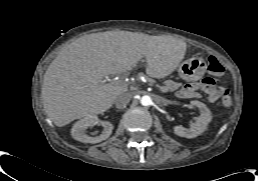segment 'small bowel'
<instances>
[{"label":"small bowel","instance_id":"obj_1","mask_svg":"<svg viewBox=\"0 0 258 181\" xmlns=\"http://www.w3.org/2000/svg\"><path fill=\"white\" fill-rule=\"evenodd\" d=\"M200 92L208 96L210 103L216 102L223 93V88L217 87L212 78H205L200 83L187 84L181 88L177 95L180 98H200Z\"/></svg>","mask_w":258,"mask_h":181}]
</instances>
